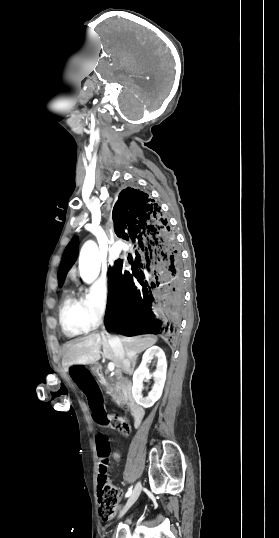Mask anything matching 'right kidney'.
Segmentation results:
<instances>
[{"instance_id": "ca27d5eb", "label": "right kidney", "mask_w": 279, "mask_h": 538, "mask_svg": "<svg viewBox=\"0 0 279 538\" xmlns=\"http://www.w3.org/2000/svg\"><path fill=\"white\" fill-rule=\"evenodd\" d=\"M153 358H156L157 366L155 372H153V374H149L147 364H149ZM166 370L167 362L163 350L158 348V346H152V348L146 350L145 354H143L142 362L138 370H136V372L133 374L132 394L137 404H140V406H143V408H151V406H153V404H155V402L161 398L166 380ZM145 378H147V380L153 378L155 384H153L152 390L149 392L148 396L143 398L142 390L143 380H145Z\"/></svg>"}]
</instances>
